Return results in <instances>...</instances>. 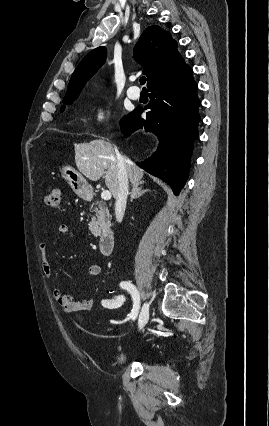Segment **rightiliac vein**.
<instances>
[{
	"mask_svg": "<svg viewBox=\"0 0 269 426\" xmlns=\"http://www.w3.org/2000/svg\"><path fill=\"white\" fill-rule=\"evenodd\" d=\"M148 318H149V304L144 303L139 315V319H138L139 329H142L146 325Z\"/></svg>",
	"mask_w": 269,
	"mask_h": 426,
	"instance_id": "right-iliac-vein-1",
	"label": "right iliac vein"
}]
</instances>
